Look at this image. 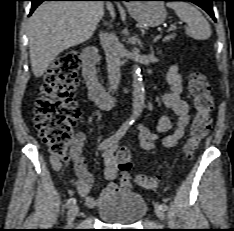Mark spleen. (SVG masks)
Listing matches in <instances>:
<instances>
[{
    "instance_id": "3e777b00",
    "label": "spleen",
    "mask_w": 234,
    "mask_h": 231,
    "mask_svg": "<svg viewBox=\"0 0 234 231\" xmlns=\"http://www.w3.org/2000/svg\"><path fill=\"white\" fill-rule=\"evenodd\" d=\"M179 19L187 24L185 33L197 40H206L211 36V28L202 13L187 2H168Z\"/></svg>"
}]
</instances>
